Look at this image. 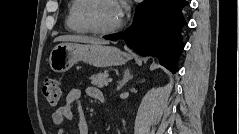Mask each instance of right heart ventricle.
<instances>
[{
	"label": "right heart ventricle",
	"instance_id": "right-heart-ventricle-1",
	"mask_svg": "<svg viewBox=\"0 0 239 134\" xmlns=\"http://www.w3.org/2000/svg\"><path fill=\"white\" fill-rule=\"evenodd\" d=\"M87 0H73L70 2L66 26L67 28L77 34H87L89 30L82 21V11Z\"/></svg>",
	"mask_w": 239,
	"mask_h": 134
}]
</instances>
